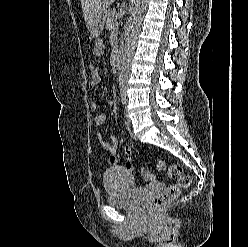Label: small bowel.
<instances>
[{
  "label": "small bowel",
  "instance_id": "1",
  "mask_svg": "<svg viewBox=\"0 0 248 247\" xmlns=\"http://www.w3.org/2000/svg\"><path fill=\"white\" fill-rule=\"evenodd\" d=\"M104 53V43L102 40H98L95 44V47L93 48L92 55L94 58L101 57ZM89 72H90V85L91 86H97L101 82V76L98 71V66L95 62H91L89 65ZM90 109L95 112L98 109V104L96 102H92L90 104ZM106 121V115L104 113L97 114L94 117V123L97 127L101 126ZM103 148L110 154L109 163L111 165H116L118 163V160L116 158V153L118 149V138L115 136H111V142L107 143L102 140V136L99 133L98 134ZM125 156L127 158L126 163L124 164L123 168L127 170L129 173H133V164L131 161V154L132 149L130 147H126L124 150Z\"/></svg>",
  "mask_w": 248,
  "mask_h": 247
}]
</instances>
